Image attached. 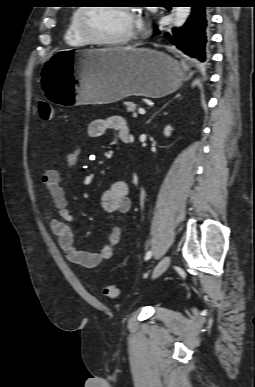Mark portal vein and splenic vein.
<instances>
[{
  "instance_id": "obj_1",
  "label": "portal vein and splenic vein",
  "mask_w": 255,
  "mask_h": 387,
  "mask_svg": "<svg viewBox=\"0 0 255 387\" xmlns=\"http://www.w3.org/2000/svg\"><path fill=\"white\" fill-rule=\"evenodd\" d=\"M138 112H139V114H141V115H144V114H145V110L142 109V108H139V109H138Z\"/></svg>"
}]
</instances>
